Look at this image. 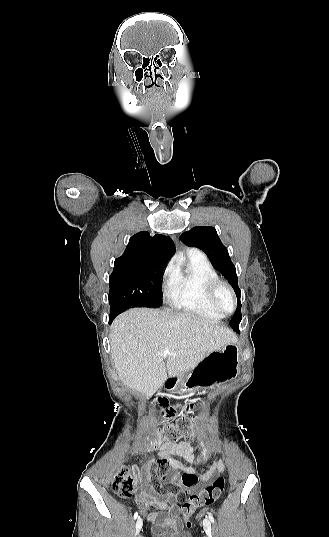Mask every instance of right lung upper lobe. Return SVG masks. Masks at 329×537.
<instances>
[{"label": "right lung upper lobe", "instance_id": "obj_1", "mask_svg": "<svg viewBox=\"0 0 329 537\" xmlns=\"http://www.w3.org/2000/svg\"><path fill=\"white\" fill-rule=\"evenodd\" d=\"M173 254V242L168 236L156 234L152 237L149 232L141 231L130 238L123 255L115 259L114 270L167 264Z\"/></svg>", "mask_w": 329, "mask_h": 537}]
</instances>
